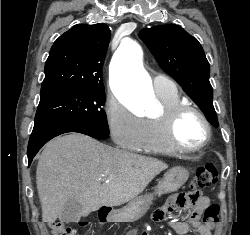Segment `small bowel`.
I'll return each mask as SVG.
<instances>
[{"label": "small bowel", "instance_id": "c3829d8e", "mask_svg": "<svg viewBox=\"0 0 250 235\" xmlns=\"http://www.w3.org/2000/svg\"><path fill=\"white\" fill-rule=\"evenodd\" d=\"M208 205L209 199L206 196H201L200 199L192 205H188L177 197H172L163 207L154 212L153 220L162 221L167 214L173 212L175 209H180L189 215L190 222H172V227L179 235H212L214 225L202 224L198 221L199 215Z\"/></svg>", "mask_w": 250, "mask_h": 235}]
</instances>
